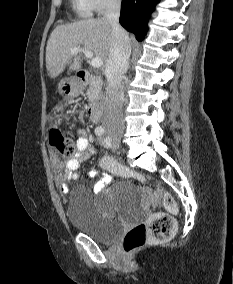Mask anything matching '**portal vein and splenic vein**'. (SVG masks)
I'll list each match as a JSON object with an SVG mask.
<instances>
[{"label": "portal vein and splenic vein", "mask_w": 233, "mask_h": 284, "mask_svg": "<svg viewBox=\"0 0 233 284\" xmlns=\"http://www.w3.org/2000/svg\"><path fill=\"white\" fill-rule=\"evenodd\" d=\"M70 52L72 54L83 52L87 58L91 59V66L94 68H100L103 65V60L101 58L93 57V53L84 47H73L70 49Z\"/></svg>", "instance_id": "obj_1"}]
</instances>
